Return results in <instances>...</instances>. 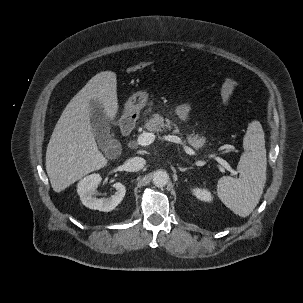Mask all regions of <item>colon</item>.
<instances>
[{
    "label": "colon",
    "instance_id": "1",
    "mask_svg": "<svg viewBox=\"0 0 303 303\" xmlns=\"http://www.w3.org/2000/svg\"><path fill=\"white\" fill-rule=\"evenodd\" d=\"M150 62H140L127 68L128 72H136L147 68ZM236 82L230 77H223L220 86V94L225 104H229L235 93Z\"/></svg>",
    "mask_w": 303,
    "mask_h": 303
}]
</instances>
